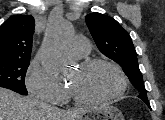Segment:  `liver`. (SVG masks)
I'll return each instance as SVG.
<instances>
[{
    "mask_svg": "<svg viewBox=\"0 0 165 120\" xmlns=\"http://www.w3.org/2000/svg\"><path fill=\"white\" fill-rule=\"evenodd\" d=\"M87 109L63 111L0 88V120H80Z\"/></svg>",
    "mask_w": 165,
    "mask_h": 120,
    "instance_id": "obj_1",
    "label": "liver"
}]
</instances>
